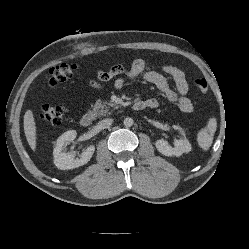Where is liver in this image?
Returning a JSON list of instances; mask_svg holds the SVG:
<instances>
[{
    "mask_svg": "<svg viewBox=\"0 0 249 249\" xmlns=\"http://www.w3.org/2000/svg\"><path fill=\"white\" fill-rule=\"evenodd\" d=\"M24 132L30 148L36 150V123L33 112L27 110L24 115Z\"/></svg>",
    "mask_w": 249,
    "mask_h": 249,
    "instance_id": "1",
    "label": "liver"
}]
</instances>
